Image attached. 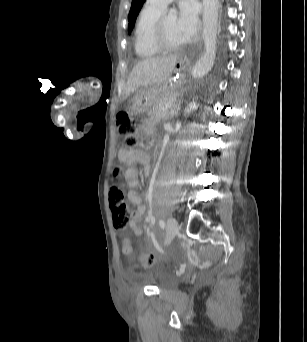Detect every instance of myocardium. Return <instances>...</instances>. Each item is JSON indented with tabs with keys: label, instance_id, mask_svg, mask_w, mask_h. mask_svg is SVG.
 <instances>
[{
	"label": "myocardium",
	"instance_id": "obj_1",
	"mask_svg": "<svg viewBox=\"0 0 307 342\" xmlns=\"http://www.w3.org/2000/svg\"><path fill=\"white\" fill-rule=\"evenodd\" d=\"M163 24H164V18L159 17L154 22L152 26L151 31V43L153 47L163 55H178L181 52V49L179 50H172L165 46L162 40V30H163Z\"/></svg>",
	"mask_w": 307,
	"mask_h": 342
}]
</instances>
